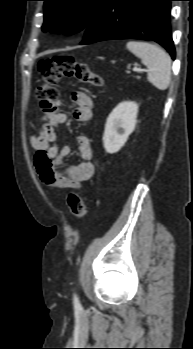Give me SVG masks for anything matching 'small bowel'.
<instances>
[{
    "label": "small bowel",
    "mask_w": 193,
    "mask_h": 349,
    "mask_svg": "<svg viewBox=\"0 0 193 349\" xmlns=\"http://www.w3.org/2000/svg\"><path fill=\"white\" fill-rule=\"evenodd\" d=\"M70 101L74 105L73 117L76 121L86 123L91 120L94 104L88 93L74 91L70 95ZM66 119V114L57 109L50 113L42 112L43 124L37 134L30 135L29 141L35 151V167L46 185L78 189L95 173L92 146L86 135H79L76 141L81 161L76 165H65L71 149L67 145L59 147L57 140L58 127Z\"/></svg>",
    "instance_id": "small-bowel-1"
}]
</instances>
